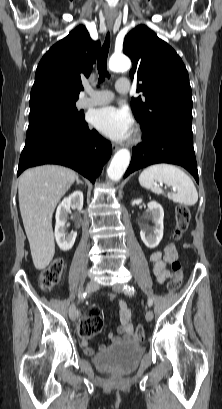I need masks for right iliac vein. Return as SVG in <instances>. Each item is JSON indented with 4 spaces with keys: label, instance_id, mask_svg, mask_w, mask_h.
I'll use <instances>...</instances> for the list:
<instances>
[{
    "label": "right iliac vein",
    "instance_id": "right-iliac-vein-1",
    "mask_svg": "<svg viewBox=\"0 0 222 409\" xmlns=\"http://www.w3.org/2000/svg\"><path fill=\"white\" fill-rule=\"evenodd\" d=\"M99 288V284L97 281L95 280H91L88 282V284L86 285V291L87 292H91V291H95ZM69 316L71 318V320L75 321L78 318V313L75 307V304H72L69 308Z\"/></svg>",
    "mask_w": 222,
    "mask_h": 409
}]
</instances>
